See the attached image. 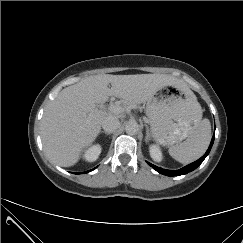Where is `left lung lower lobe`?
Masks as SVG:
<instances>
[{
    "label": "left lung lower lobe",
    "instance_id": "left-lung-lower-lobe-1",
    "mask_svg": "<svg viewBox=\"0 0 243 243\" xmlns=\"http://www.w3.org/2000/svg\"><path fill=\"white\" fill-rule=\"evenodd\" d=\"M214 137H215V134L213 135L212 137V140H211V143H210V146L208 148V150L206 151V153L200 158L198 159L197 161L179 169V170H166V169H162L160 167H157L149 162H147L151 167H153L157 172L163 174V175H167V176H179V175H184L186 173H189L191 171H193L194 169H196L202 162L203 160L206 158V156L209 154L210 150H211V147L213 145V142H214Z\"/></svg>",
    "mask_w": 243,
    "mask_h": 243
}]
</instances>
